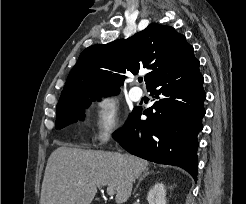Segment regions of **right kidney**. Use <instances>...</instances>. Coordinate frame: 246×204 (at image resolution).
<instances>
[{
	"mask_svg": "<svg viewBox=\"0 0 246 204\" xmlns=\"http://www.w3.org/2000/svg\"><path fill=\"white\" fill-rule=\"evenodd\" d=\"M149 204H166V190L162 183H156L148 192Z\"/></svg>",
	"mask_w": 246,
	"mask_h": 204,
	"instance_id": "right-kidney-1",
	"label": "right kidney"
}]
</instances>
